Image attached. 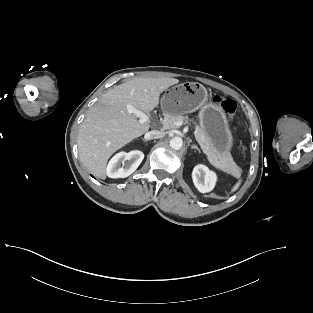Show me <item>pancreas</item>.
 <instances>
[{
	"mask_svg": "<svg viewBox=\"0 0 313 313\" xmlns=\"http://www.w3.org/2000/svg\"><path fill=\"white\" fill-rule=\"evenodd\" d=\"M189 119L187 115H169L166 114L163 120V124L167 128L175 127L174 123L178 120H185ZM193 121V120H191ZM196 124L195 122H193ZM195 138L199 145L201 146L203 152L207 155L210 162L218 169H220L223 172H226L227 174H231L232 176H238L240 173V168L237 166V164L233 161V158L231 154L227 153L222 158H218V154L205 135L202 128L198 125H195V132H194Z\"/></svg>",
	"mask_w": 313,
	"mask_h": 313,
	"instance_id": "1",
	"label": "pancreas"
}]
</instances>
